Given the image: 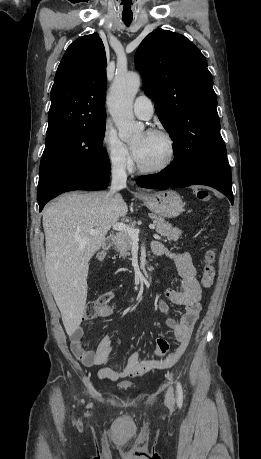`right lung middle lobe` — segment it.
Wrapping results in <instances>:
<instances>
[{
	"instance_id": "obj_1",
	"label": "right lung middle lobe",
	"mask_w": 261,
	"mask_h": 459,
	"mask_svg": "<svg viewBox=\"0 0 261 459\" xmlns=\"http://www.w3.org/2000/svg\"><path fill=\"white\" fill-rule=\"evenodd\" d=\"M106 120L94 125L46 133L37 194L56 179L80 170L110 169L102 141Z\"/></svg>"
}]
</instances>
